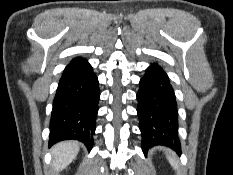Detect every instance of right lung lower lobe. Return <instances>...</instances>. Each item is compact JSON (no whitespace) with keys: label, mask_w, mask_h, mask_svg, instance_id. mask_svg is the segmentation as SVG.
<instances>
[{"label":"right lung lower lobe","mask_w":233,"mask_h":175,"mask_svg":"<svg viewBox=\"0 0 233 175\" xmlns=\"http://www.w3.org/2000/svg\"><path fill=\"white\" fill-rule=\"evenodd\" d=\"M98 78L83 58H74L63 71L53 101L49 144L75 139L93 147L98 101Z\"/></svg>","instance_id":"right-lung-lower-lobe-1"}]
</instances>
